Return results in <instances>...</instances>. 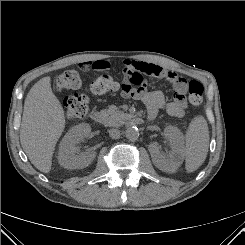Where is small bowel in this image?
Segmentation results:
<instances>
[{
  "label": "small bowel",
  "instance_id": "obj_1",
  "mask_svg": "<svg viewBox=\"0 0 245 245\" xmlns=\"http://www.w3.org/2000/svg\"><path fill=\"white\" fill-rule=\"evenodd\" d=\"M84 70H108L111 63L107 60L84 61L81 64ZM124 79L119 87V94L123 98H132L141 101L147 108L149 117H154L158 111L165 108L172 117H183L188 102L186 93L188 89L187 81L172 71H167L162 66L154 63L125 59ZM135 74L142 76L140 84H135L132 80ZM157 77L165 79L174 90L172 101L166 103L165 96L161 91H149L144 83V77Z\"/></svg>",
  "mask_w": 245,
  "mask_h": 245
}]
</instances>
